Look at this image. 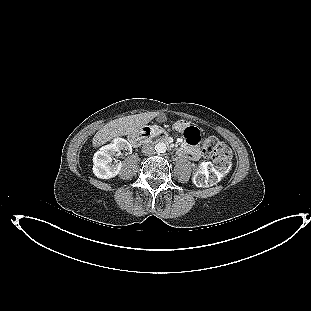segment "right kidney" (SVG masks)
I'll use <instances>...</instances> for the list:
<instances>
[{"mask_svg":"<svg viewBox=\"0 0 311 311\" xmlns=\"http://www.w3.org/2000/svg\"><path fill=\"white\" fill-rule=\"evenodd\" d=\"M122 150L132 152L131 144L123 138H115L112 143L100 148L93 157L94 175L100 179H110L118 175L122 163H112V157L120 154Z\"/></svg>","mask_w":311,"mask_h":311,"instance_id":"1","label":"right kidney"}]
</instances>
